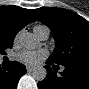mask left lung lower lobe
<instances>
[{
    "label": "left lung lower lobe",
    "mask_w": 89,
    "mask_h": 89,
    "mask_svg": "<svg viewBox=\"0 0 89 89\" xmlns=\"http://www.w3.org/2000/svg\"><path fill=\"white\" fill-rule=\"evenodd\" d=\"M47 64L51 65L49 59ZM46 65L47 76L38 82L39 89H89V66H65L61 75Z\"/></svg>",
    "instance_id": "1"
}]
</instances>
